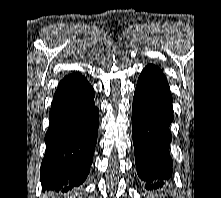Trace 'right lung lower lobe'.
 Returning <instances> with one entry per match:
<instances>
[{"mask_svg": "<svg viewBox=\"0 0 221 198\" xmlns=\"http://www.w3.org/2000/svg\"><path fill=\"white\" fill-rule=\"evenodd\" d=\"M94 90L81 75L60 82L49 112L42 187L66 192L82 184L93 160L99 127Z\"/></svg>", "mask_w": 221, "mask_h": 198, "instance_id": "obj_1", "label": "right lung lower lobe"}]
</instances>
